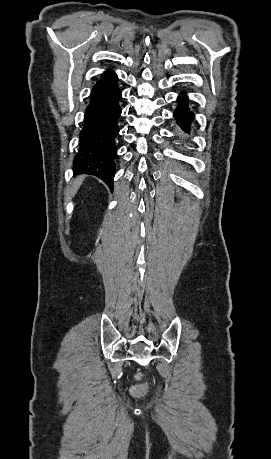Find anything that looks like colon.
I'll return each mask as SVG.
<instances>
[{
  "instance_id": "5ec220e1",
  "label": "colon",
  "mask_w": 271,
  "mask_h": 459,
  "mask_svg": "<svg viewBox=\"0 0 271 459\" xmlns=\"http://www.w3.org/2000/svg\"><path fill=\"white\" fill-rule=\"evenodd\" d=\"M139 376H140V375H138V377H139ZM133 392H134L135 394H141V393L143 392V387H142V386L135 387L134 390H133Z\"/></svg>"
}]
</instances>
